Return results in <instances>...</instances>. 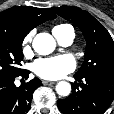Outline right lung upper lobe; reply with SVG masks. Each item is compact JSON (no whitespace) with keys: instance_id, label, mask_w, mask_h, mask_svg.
<instances>
[{"instance_id":"right-lung-upper-lobe-1","label":"right lung upper lobe","mask_w":114,"mask_h":114,"mask_svg":"<svg viewBox=\"0 0 114 114\" xmlns=\"http://www.w3.org/2000/svg\"><path fill=\"white\" fill-rule=\"evenodd\" d=\"M55 17L48 8L14 6L0 13V31L24 38L33 28Z\"/></svg>"}]
</instances>
